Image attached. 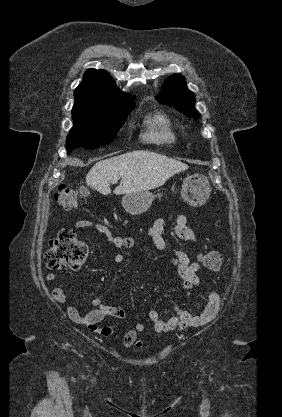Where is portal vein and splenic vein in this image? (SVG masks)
I'll return each instance as SVG.
<instances>
[{"label": "portal vein and splenic vein", "instance_id": "1", "mask_svg": "<svg viewBox=\"0 0 282 417\" xmlns=\"http://www.w3.org/2000/svg\"><path fill=\"white\" fill-rule=\"evenodd\" d=\"M118 178H115V180H113V182H117Z\"/></svg>", "mask_w": 282, "mask_h": 417}]
</instances>
